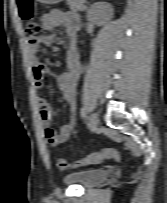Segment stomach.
Wrapping results in <instances>:
<instances>
[{
    "instance_id": "obj_1",
    "label": "stomach",
    "mask_w": 167,
    "mask_h": 203,
    "mask_svg": "<svg viewBox=\"0 0 167 203\" xmlns=\"http://www.w3.org/2000/svg\"><path fill=\"white\" fill-rule=\"evenodd\" d=\"M38 2L44 3V4H57L61 2L62 0H37Z\"/></svg>"
}]
</instances>
